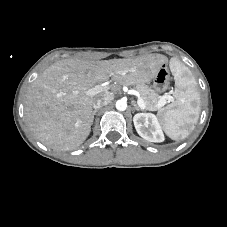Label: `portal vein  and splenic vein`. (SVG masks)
<instances>
[{
  "label": "portal vein and splenic vein",
  "mask_w": 227,
  "mask_h": 227,
  "mask_svg": "<svg viewBox=\"0 0 227 227\" xmlns=\"http://www.w3.org/2000/svg\"><path fill=\"white\" fill-rule=\"evenodd\" d=\"M107 89H108V87L106 85L101 84V85H97V86H95L93 88H90L87 91V94L93 96V95H96V94H98V93H100L102 91H105ZM137 98H138L137 99V103H138L139 107H141L142 109H145V103H144L143 99L141 98V96L139 94L137 95ZM167 99L169 101H171L173 98L171 96H169V95H166L159 101L158 105L159 106H164L166 104V100Z\"/></svg>",
  "instance_id": "1"
}]
</instances>
